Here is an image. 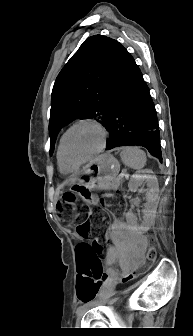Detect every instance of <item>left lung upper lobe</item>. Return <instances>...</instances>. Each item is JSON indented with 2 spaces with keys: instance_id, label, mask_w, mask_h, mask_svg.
Listing matches in <instances>:
<instances>
[{
  "instance_id": "1",
  "label": "left lung upper lobe",
  "mask_w": 193,
  "mask_h": 336,
  "mask_svg": "<svg viewBox=\"0 0 193 336\" xmlns=\"http://www.w3.org/2000/svg\"><path fill=\"white\" fill-rule=\"evenodd\" d=\"M126 55L118 41L96 35L69 59L52 91L50 155L59 131L74 119H96L106 125Z\"/></svg>"
}]
</instances>
